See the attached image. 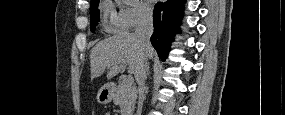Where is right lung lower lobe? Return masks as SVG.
<instances>
[{"label": "right lung lower lobe", "instance_id": "right-lung-lower-lobe-1", "mask_svg": "<svg viewBox=\"0 0 285 115\" xmlns=\"http://www.w3.org/2000/svg\"><path fill=\"white\" fill-rule=\"evenodd\" d=\"M184 2L185 0H167L164 3L158 2L154 8L151 43L163 61L170 51L174 34L180 32L178 26L183 15V5L180 3Z\"/></svg>", "mask_w": 285, "mask_h": 115}]
</instances>
